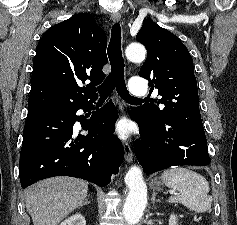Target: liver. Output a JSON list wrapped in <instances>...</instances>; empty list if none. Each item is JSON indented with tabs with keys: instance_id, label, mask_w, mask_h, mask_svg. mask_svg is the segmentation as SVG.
<instances>
[{
	"instance_id": "obj_1",
	"label": "liver",
	"mask_w": 237,
	"mask_h": 225,
	"mask_svg": "<svg viewBox=\"0 0 237 225\" xmlns=\"http://www.w3.org/2000/svg\"><path fill=\"white\" fill-rule=\"evenodd\" d=\"M88 194V184L71 177L41 180L25 192L26 209L33 225H57L81 206Z\"/></svg>"
}]
</instances>
